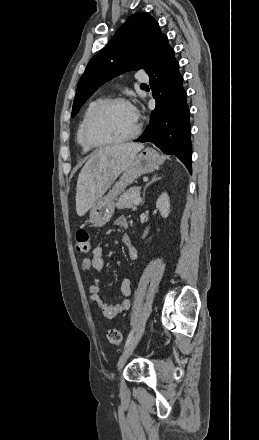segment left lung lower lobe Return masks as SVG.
Listing matches in <instances>:
<instances>
[{"label": "left lung lower lobe", "mask_w": 259, "mask_h": 440, "mask_svg": "<svg viewBox=\"0 0 259 440\" xmlns=\"http://www.w3.org/2000/svg\"><path fill=\"white\" fill-rule=\"evenodd\" d=\"M145 71L156 107L148 127L135 142H151L165 154L177 156L191 173L189 109L179 64L167 37Z\"/></svg>", "instance_id": "0a47b994"}]
</instances>
